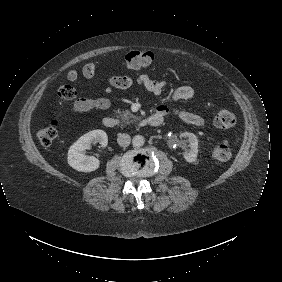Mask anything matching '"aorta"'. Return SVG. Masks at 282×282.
<instances>
[{"label":"aorta","instance_id":"aorta-1","mask_svg":"<svg viewBox=\"0 0 282 282\" xmlns=\"http://www.w3.org/2000/svg\"><path fill=\"white\" fill-rule=\"evenodd\" d=\"M145 143V138L142 135H135L132 139V144L134 147H141Z\"/></svg>","mask_w":282,"mask_h":282}]
</instances>
